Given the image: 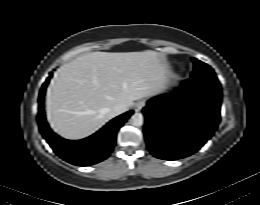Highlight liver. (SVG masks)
<instances>
[{"label":"liver","instance_id":"obj_1","mask_svg":"<svg viewBox=\"0 0 260 205\" xmlns=\"http://www.w3.org/2000/svg\"><path fill=\"white\" fill-rule=\"evenodd\" d=\"M167 66L159 53L92 52L61 66L47 91L46 111L53 130L82 139L114 118L111 109L153 97L165 88Z\"/></svg>","mask_w":260,"mask_h":205}]
</instances>
